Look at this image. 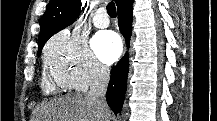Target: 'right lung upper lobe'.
<instances>
[{"label": "right lung upper lobe", "instance_id": "cb5924a9", "mask_svg": "<svg viewBox=\"0 0 217 121\" xmlns=\"http://www.w3.org/2000/svg\"><path fill=\"white\" fill-rule=\"evenodd\" d=\"M123 0H115L120 4ZM82 2L80 0H50L41 20L39 33L38 52L42 50L46 41L71 25L77 18Z\"/></svg>", "mask_w": 217, "mask_h": 121}]
</instances>
